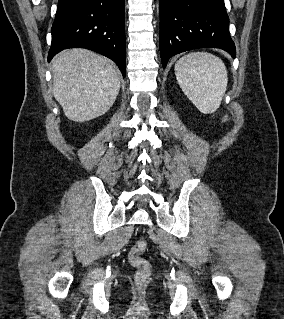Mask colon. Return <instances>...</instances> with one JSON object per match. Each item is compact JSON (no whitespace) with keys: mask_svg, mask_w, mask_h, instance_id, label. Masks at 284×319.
Masks as SVG:
<instances>
[{"mask_svg":"<svg viewBox=\"0 0 284 319\" xmlns=\"http://www.w3.org/2000/svg\"><path fill=\"white\" fill-rule=\"evenodd\" d=\"M146 248L147 241L140 239L134 244L129 253V261L136 268L135 281L137 285L144 284L151 271L150 263L143 258Z\"/></svg>","mask_w":284,"mask_h":319,"instance_id":"colon-1","label":"colon"}]
</instances>
